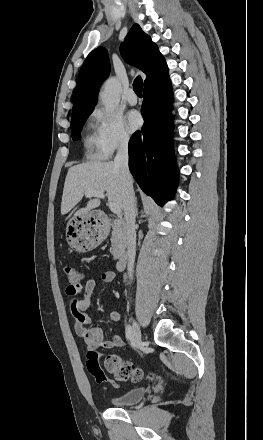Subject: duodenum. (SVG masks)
<instances>
[{"mask_svg":"<svg viewBox=\"0 0 263 440\" xmlns=\"http://www.w3.org/2000/svg\"><path fill=\"white\" fill-rule=\"evenodd\" d=\"M98 219L100 221H103V218H101V217H98ZM127 261H128V257H127L126 251L122 250V252L118 256L117 261H116V269L118 271L123 270L127 264Z\"/></svg>","mask_w":263,"mask_h":440,"instance_id":"duodenum-1","label":"duodenum"}]
</instances>
